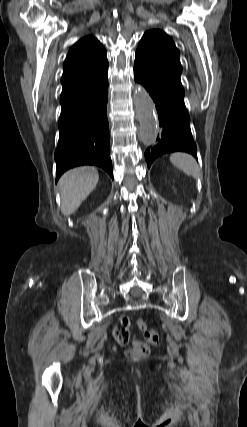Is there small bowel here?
<instances>
[{
  "label": "small bowel",
  "mask_w": 247,
  "mask_h": 427,
  "mask_svg": "<svg viewBox=\"0 0 247 427\" xmlns=\"http://www.w3.org/2000/svg\"><path fill=\"white\" fill-rule=\"evenodd\" d=\"M112 334L118 343H126L130 338V319L126 316L121 317L120 327L114 328Z\"/></svg>",
  "instance_id": "obj_1"
}]
</instances>
